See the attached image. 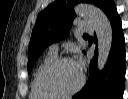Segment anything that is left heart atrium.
Here are the masks:
<instances>
[{"label": "left heart atrium", "mask_w": 128, "mask_h": 99, "mask_svg": "<svg viewBox=\"0 0 128 99\" xmlns=\"http://www.w3.org/2000/svg\"><path fill=\"white\" fill-rule=\"evenodd\" d=\"M76 63H77L78 67H79L80 70H81V62H76Z\"/></svg>", "instance_id": "1"}]
</instances>
